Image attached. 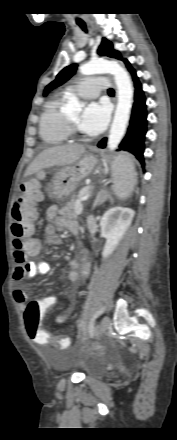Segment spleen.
I'll return each mask as SVG.
<instances>
[{
  "label": "spleen",
  "mask_w": 177,
  "mask_h": 440,
  "mask_svg": "<svg viewBox=\"0 0 177 440\" xmlns=\"http://www.w3.org/2000/svg\"><path fill=\"white\" fill-rule=\"evenodd\" d=\"M125 164L118 168V171L113 174L115 177L114 191L116 195L125 199L133 190L136 184V173L133 163L129 157L124 156Z\"/></svg>",
  "instance_id": "1"
}]
</instances>
